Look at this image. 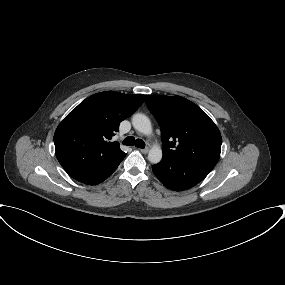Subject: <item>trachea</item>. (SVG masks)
I'll list each match as a JSON object with an SVG mask.
<instances>
[{
  "instance_id": "trachea-1",
  "label": "trachea",
  "mask_w": 285,
  "mask_h": 285,
  "mask_svg": "<svg viewBox=\"0 0 285 285\" xmlns=\"http://www.w3.org/2000/svg\"><path fill=\"white\" fill-rule=\"evenodd\" d=\"M124 145L136 146L138 148H145V142L142 139H135L133 136H128L123 141Z\"/></svg>"
}]
</instances>
